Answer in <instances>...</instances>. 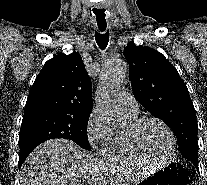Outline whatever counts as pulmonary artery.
Returning <instances> with one entry per match:
<instances>
[{
  "instance_id": "obj_1",
  "label": "pulmonary artery",
  "mask_w": 207,
  "mask_h": 185,
  "mask_svg": "<svg viewBox=\"0 0 207 185\" xmlns=\"http://www.w3.org/2000/svg\"><path fill=\"white\" fill-rule=\"evenodd\" d=\"M102 74V73H101ZM118 100L121 106L130 114H137L138 112V104L135 98L127 93V92H120L118 95Z\"/></svg>"
}]
</instances>
